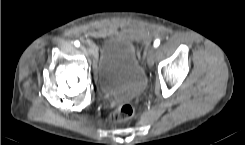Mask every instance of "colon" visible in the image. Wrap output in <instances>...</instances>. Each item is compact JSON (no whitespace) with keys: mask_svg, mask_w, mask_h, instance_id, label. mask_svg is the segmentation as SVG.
Instances as JSON below:
<instances>
[{"mask_svg":"<svg viewBox=\"0 0 245 145\" xmlns=\"http://www.w3.org/2000/svg\"><path fill=\"white\" fill-rule=\"evenodd\" d=\"M134 114V108L130 104H124L116 109L110 117L112 124H118L129 120Z\"/></svg>","mask_w":245,"mask_h":145,"instance_id":"1","label":"colon"}]
</instances>
